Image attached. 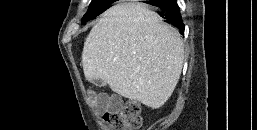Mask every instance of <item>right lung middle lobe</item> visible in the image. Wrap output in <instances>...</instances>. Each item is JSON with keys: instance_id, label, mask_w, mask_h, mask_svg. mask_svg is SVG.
I'll list each match as a JSON object with an SVG mask.
<instances>
[{"instance_id": "1", "label": "right lung middle lobe", "mask_w": 257, "mask_h": 130, "mask_svg": "<svg viewBox=\"0 0 257 130\" xmlns=\"http://www.w3.org/2000/svg\"><path fill=\"white\" fill-rule=\"evenodd\" d=\"M114 1L112 0H92L90 3L87 13L82 18V23L93 19L101 12H103L107 7H109Z\"/></svg>"}]
</instances>
